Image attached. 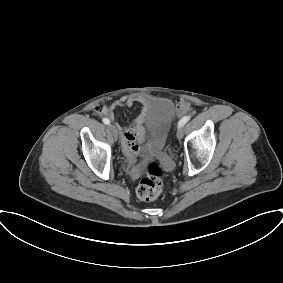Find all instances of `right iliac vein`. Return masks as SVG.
<instances>
[{"instance_id":"1","label":"right iliac vein","mask_w":283,"mask_h":283,"mask_svg":"<svg viewBox=\"0 0 283 283\" xmlns=\"http://www.w3.org/2000/svg\"><path fill=\"white\" fill-rule=\"evenodd\" d=\"M108 128H109V130L112 132V134L114 135V137L117 138V137H118V130H117L116 126L113 125V124H110V125L108 126Z\"/></svg>"}]
</instances>
